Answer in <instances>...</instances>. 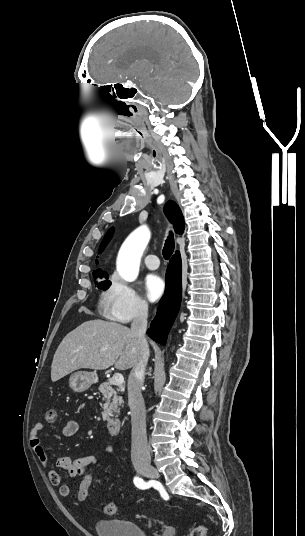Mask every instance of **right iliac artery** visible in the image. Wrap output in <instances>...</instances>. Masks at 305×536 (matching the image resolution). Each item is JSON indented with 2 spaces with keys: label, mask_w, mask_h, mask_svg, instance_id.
<instances>
[{
  "label": "right iliac artery",
  "mask_w": 305,
  "mask_h": 536,
  "mask_svg": "<svg viewBox=\"0 0 305 536\" xmlns=\"http://www.w3.org/2000/svg\"><path fill=\"white\" fill-rule=\"evenodd\" d=\"M134 484L139 489H147V488L150 487L149 482H145L143 479H141L139 477L134 478Z\"/></svg>",
  "instance_id": "right-iliac-artery-1"
}]
</instances>
